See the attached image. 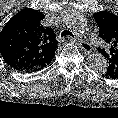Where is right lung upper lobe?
<instances>
[{"label":"right lung upper lobe","instance_id":"cb5924a9","mask_svg":"<svg viewBox=\"0 0 118 118\" xmlns=\"http://www.w3.org/2000/svg\"><path fill=\"white\" fill-rule=\"evenodd\" d=\"M44 14L24 8L0 32V53L12 68L31 72L52 61L57 42L52 28L42 24Z\"/></svg>","mask_w":118,"mask_h":118}]
</instances>
